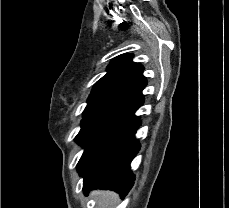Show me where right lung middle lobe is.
<instances>
[{"label":"right lung middle lobe","mask_w":229,"mask_h":208,"mask_svg":"<svg viewBox=\"0 0 229 208\" xmlns=\"http://www.w3.org/2000/svg\"><path fill=\"white\" fill-rule=\"evenodd\" d=\"M140 106L117 99L88 103L83 112L81 130L75 138L79 145L85 147L77 167L91 152L133 123L138 118L134 113Z\"/></svg>","instance_id":"obj_1"}]
</instances>
